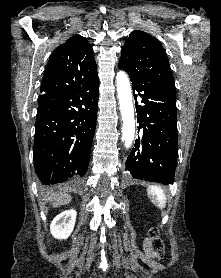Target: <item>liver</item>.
I'll use <instances>...</instances> for the list:
<instances>
[{"label": "liver", "instance_id": "obj_1", "mask_svg": "<svg viewBox=\"0 0 221 278\" xmlns=\"http://www.w3.org/2000/svg\"><path fill=\"white\" fill-rule=\"evenodd\" d=\"M47 199L53 202V207H59L61 205L69 203L72 197L66 191H64L60 194H53L51 196H48Z\"/></svg>", "mask_w": 221, "mask_h": 278}]
</instances>
